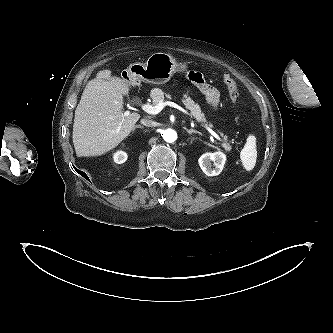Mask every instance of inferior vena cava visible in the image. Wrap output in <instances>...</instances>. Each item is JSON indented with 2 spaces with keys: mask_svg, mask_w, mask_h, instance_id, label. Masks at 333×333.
Segmentation results:
<instances>
[{
  "mask_svg": "<svg viewBox=\"0 0 333 333\" xmlns=\"http://www.w3.org/2000/svg\"><path fill=\"white\" fill-rule=\"evenodd\" d=\"M141 124H143L144 126H147V127H153L156 125L154 121L147 119V118L141 119Z\"/></svg>",
  "mask_w": 333,
  "mask_h": 333,
  "instance_id": "inferior-vena-cava-1",
  "label": "inferior vena cava"
}]
</instances>
